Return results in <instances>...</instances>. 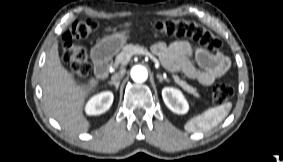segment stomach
I'll return each instance as SVG.
<instances>
[{
	"mask_svg": "<svg viewBox=\"0 0 283 162\" xmlns=\"http://www.w3.org/2000/svg\"><path fill=\"white\" fill-rule=\"evenodd\" d=\"M129 26H124L118 32L103 38L94 48L93 53L99 59H108L115 55L129 39Z\"/></svg>",
	"mask_w": 283,
	"mask_h": 162,
	"instance_id": "stomach-1",
	"label": "stomach"
}]
</instances>
